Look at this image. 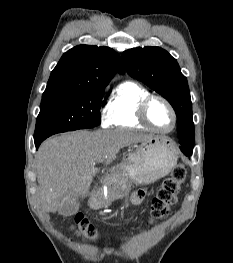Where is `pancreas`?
Instances as JSON below:
<instances>
[{"mask_svg":"<svg viewBox=\"0 0 233 263\" xmlns=\"http://www.w3.org/2000/svg\"><path fill=\"white\" fill-rule=\"evenodd\" d=\"M116 198H118V196L115 195V194L109 195V197H108V202H111V201H113V200L116 199Z\"/></svg>","mask_w":233,"mask_h":263,"instance_id":"1","label":"pancreas"}]
</instances>
